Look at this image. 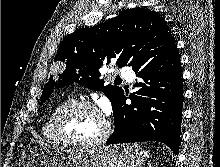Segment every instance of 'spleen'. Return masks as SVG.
<instances>
[{"instance_id": "spleen-1", "label": "spleen", "mask_w": 220, "mask_h": 167, "mask_svg": "<svg viewBox=\"0 0 220 167\" xmlns=\"http://www.w3.org/2000/svg\"><path fill=\"white\" fill-rule=\"evenodd\" d=\"M145 155L149 158V153L148 152H145Z\"/></svg>"}]
</instances>
